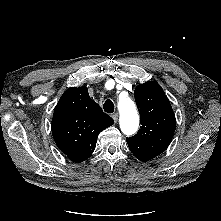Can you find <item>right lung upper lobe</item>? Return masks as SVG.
<instances>
[{"mask_svg":"<svg viewBox=\"0 0 221 221\" xmlns=\"http://www.w3.org/2000/svg\"><path fill=\"white\" fill-rule=\"evenodd\" d=\"M112 124L114 120L89 97L86 86L72 87L56 105L52 133L59 149L80 163L95 150L98 134Z\"/></svg>","mask_w":221,"mask_h":221,"instance_id":"right-lung-upper-lobe-1","label":"right lung upper lobe"}]
</instances>
